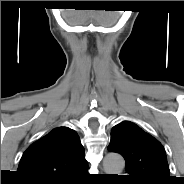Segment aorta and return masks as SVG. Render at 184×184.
I'll use <instances>...</instances> for the list:
<instances>
[{"instance_id":"obj_1","label":"aorta","mask_w":184,"mask_h":184,"mask_svg":"<svg viewBox=\"0 0 184 184\" xmlns=\"http://www.w3.org/2000/svg\"><path fill=\"white\" fill-rule=\"evenodd\" d=\"M125 166L124 159L116 153H109L105 156L103 167L106 174H120Z\"/></svg>"}]
</instances>
